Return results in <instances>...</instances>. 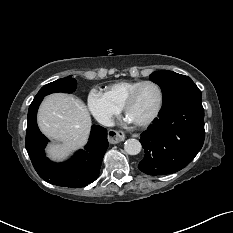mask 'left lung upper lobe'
<instances>
[{"label": "left lung upper lobe", "mask_w": 233, "mask_h": 233, "mask_svg": "<svg viewBox=\"0 0 233 233\" xmlns=\"http://www.w3.org/2000/svg\"><path fill=\"white\" fill-rule=\"evenodd\" d=\"M150 79L157 83L162 89V108L168 107L171 104L187 97H202L201 91L192 79L185 75L168 70H162L152 73L150 75Z\"/></svg>", "instance_id": "5c2ea615"}]
</instances>
